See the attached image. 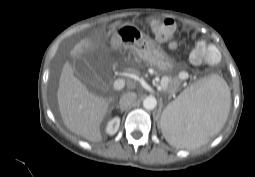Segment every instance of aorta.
<instances>
[{"label": "aorta", "instance_id": "obj_1", "mask_svg": "<svg viewBox=\"0 0 255 177\" xmlns=\"http://www.w3.org/2000/svg\"><path fill=\"white\" fill-rule=\"evenodd\" d=\"M157 105V100L153 96H148L143 101V106L147 110H153Z\"/></svg>", "mask_w": 255, "mask_h": 177}]
</instances>
